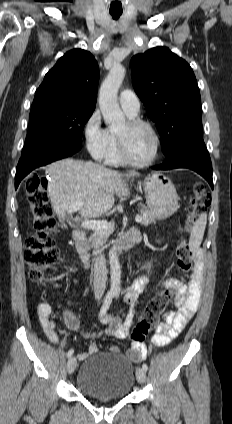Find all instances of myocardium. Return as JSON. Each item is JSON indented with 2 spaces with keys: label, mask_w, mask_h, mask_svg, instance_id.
<instances>
[{
  "label": "myocardium",
  "mask_w": 232,
  "mask_h": 424,
  "mask_svg": "<svg viewBox=\"0 0 232 424\" xmlns=\"http://www.w3.org/2000/svg\"><path fill=\"white\" fill-rule=\"evenodd\" d=\"M127 122H128L130 127H133V128L144 127L146 129H148L154 137L155 147H154L153 154L148 159L142 160V161L134 160L127 153L126 145H125V141H124L123 136L116 133V141H117V146H118V152H119V156H120L122 162L124 164L130 165V166H136V167H144V166L151 165L152 163L155 162V160L157 159L159 152H160L161 139H160L159 133L157 132L155 127L147 121H144V120H141V119H136V118H131Z\"/></svg>",
  "instance_id": "myocardium-1"
}]
</instances>
